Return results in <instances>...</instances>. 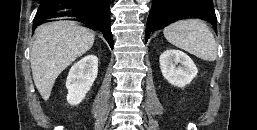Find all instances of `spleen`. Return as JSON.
Returning <instances> with one entry per match:
<instances>
[{"instance_id": "3e777b00", "label": "spleen", "mask_w": 257, "mask_h": 130, "mask_svg": "<svg viewBox=\"0 0 257 130\" xmlns=\"http://www.w3.org/2000/svg\"><path fill=\"white\" fill-rule=\"evenodd\" d=\"M163 34L174 46L198 58L213 62L217 58V44L209 27L198 19L182 20L170 24Z\"/></svg>"}]
</instances>
